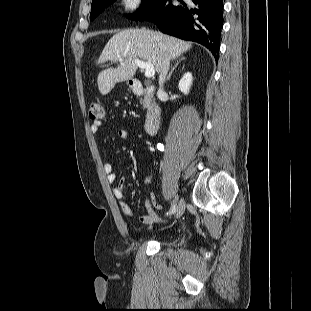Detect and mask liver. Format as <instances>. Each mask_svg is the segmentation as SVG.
I'll return each instance as SVG.
<instances>
[{"label": "liver", "instance_id": "obj_1", "mask_svg": "<svg viewBox=\"0 0 311 311\" xmlns=\"http://www.w3.org/2000/svg\"><path fill=\"white\" fill-rule=\"evenodd\" d=\"M192 44L160 32L146 29H126L116 33L104 47L98 64L108 61H122L115 68L101 71L97 78L98 88L102 95L108 94L116 83L133 77L138 66L134 62L140 59L151 63L157 72L160 71L163 55L175 59L187 52Z\"/></svg>", "mask_w": 311, "mask_h": 311}]
</instances>
